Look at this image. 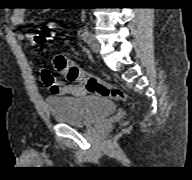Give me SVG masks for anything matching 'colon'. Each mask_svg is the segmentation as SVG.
<instances>
[{"mask_svg":"<svg viewBox=\"0 0 192 180\" xmlns=\"http://www.w3.org/2000/svg\"><path fill=\"white\" fill-rule=\"evenodd\" d=\"M61 37L62 35L60 31L51 24L43 26L33 35L34 42L39 47L50 41L58 40ZM54 66L55 69L64 76V79L68 84L80 85L88 94H95L119 100L125 99V94L121 89L96 76L88 74L64 55L55 56Z\"/></svg>","mask_w":192,"mask_h":180,"instance_id":"5ec220e1","label":"colon"}]
</instances>
